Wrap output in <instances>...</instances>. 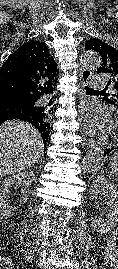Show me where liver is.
Here are the masks:
<instances>
[{"instance_id":"obj_1","label":"liver","mask_w":118,"mask_h":269,"mask_svg":"<svg viewBox=\"0 0 118 269\" xmlns=\"http://www.w3.org/2000/svg\"><path fill=\"white\" fill-rule=\"evenodd\" d=\"M43 150L41 135L31 124L12 120L0 125V177L30 168Z\"/></svg>"}]
</instances>
